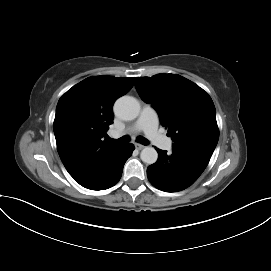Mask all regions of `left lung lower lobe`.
I'll use <instances>...</instances> for the list:
<instances>
[{
  "label": "left lung lower lobe",
  "mask_w": 271,
  "mask_h": 271,
  "mask_svg": "<svg viewBox=\"0 0 271 271\" xmlns=\"http://www.w3.org/2000/svg\"><path fill=\"white\" fill-rule=\"evenodd\" d=\"M158 160L147 168L149 181L165 192H177L192 185L202 174L210 158L194 152L157 149Z\"/></svg>",
  "instance_id": "1"
}]
</instances>
